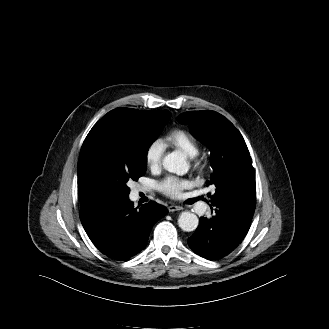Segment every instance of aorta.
<instances>
[{
	"label": "aorta",
	"mask_w": 329,
	"mask_h": 329,
	"mask_svg": "<svg viewBox=\"0 0 329 329\" xmlns=\"http://www.w3.org/2000/svg\"><path fill=\"white\" fill-rule=\"evenodd\" d=\"M163 167L168 172L176 173L177 175H184L189 170V164L185 155L179 151H173L166 155L163 159ZM198 224V217L194 213L182 212L179 216L178 225L183 231H194Z\"/></svg>",
	"instance_id": "aorta-1"
}]
</instances>
